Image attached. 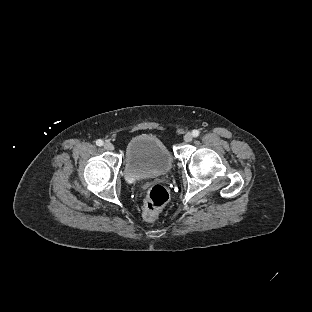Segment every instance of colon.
I'll return each instance as SVG.
<instances>
[{
    "label": "colon",
    "instance_id": "1",
    "mask_svg": "<svg viewBox=\"0 0 312 312\" xmlns=\"http://www.w3.org/2000/svg\"><path fill=\"white\" fill-rule=\"evenodd\" d=\"M168 191L161 185L155 184L151 186L146 193V202L143 216L148 221H155L160 209L168 201Z\"/></svg>",
    "mask_w": 312,
    "mask_h": 312
}]
</instances>
